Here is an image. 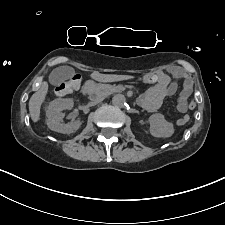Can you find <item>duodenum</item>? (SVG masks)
<instances>
[{
  "label": "duodenum",
  "instance_id": "410a0bca",
  "mask_svg": "<svg viewBox=\"0 0 225 225\" xmlns=\"http://www.w3.org/2000/svg\"><path fill=\"white\" fill-rule=\"evenodd\" d=\"M84 94L89 96V95H94L93 91H92V85L88 84L84 90Z\"/></svg>",
  "mask_w": 225,
  "mask_h": 225
}]
</instances>
